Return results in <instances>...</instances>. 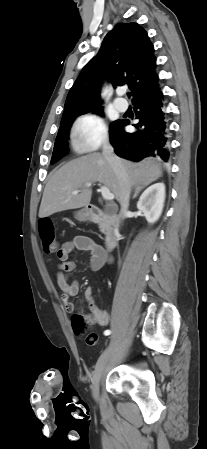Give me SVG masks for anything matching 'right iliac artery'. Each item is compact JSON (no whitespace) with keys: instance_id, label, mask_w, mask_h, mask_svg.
Instances as JSON below:
<instances>
[{"instance_id":"82829eb1","label":"right iliac artery","mask_w":207,"mask_h":449,"mask_svg":"<svg viewBox=\"0 0 207 449\" xmlns=\"http://www.w3.org/2000/svg\"><path fill=\"white\" fill-rule=\"evenodd\" d=\"M110 333H111L110 330H105V331H104V335H106V336L110 335Z\"/></svg>"}]
</instances>
